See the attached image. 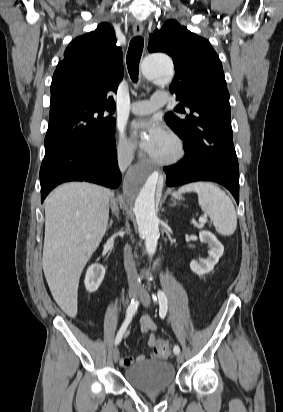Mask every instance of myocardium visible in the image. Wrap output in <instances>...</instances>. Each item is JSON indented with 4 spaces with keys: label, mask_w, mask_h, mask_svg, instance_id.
<instances>
[{
    "label": "myocardium",
    "mask_w": 283,
    "mask_h": 412,
    "mask_svg": "<svg viewBox=\"0 0 283 412\" xmlns=\"http://www.w3.org/2000/svg\"><path fill=\"white\" fill-rule=\"evenodd\" d=\"M167 135L170 137V139L173 141L175 145V153L173 156L167 159H160L157 157H154L150 154V159L153 163L160 165V166H171L174 165L178 162H180L186 153L185 150V145L183 140L173 131H168Z\"/></svg>",
    "instance_id": "1"
}]
</instances>
